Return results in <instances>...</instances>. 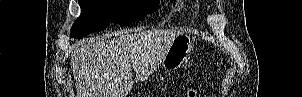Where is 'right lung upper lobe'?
I'll return each mask as SVG.
<instances>
[{
    "label": "right lung upper lobe",
    "instance_id": "1",
    "mask_svg": "<svg viewBox=\"0 0 302 97\" xmlns=\"http://www.w3.org/2000/svg\"><path fill=\"white\" fill-rule=\"evenodd\" d=\"M146 1H155V2H160V0H146Z\"/></svg>",
    "mask_w": 302,
    "mask_h": 97
}]
</instances>
